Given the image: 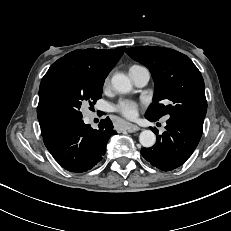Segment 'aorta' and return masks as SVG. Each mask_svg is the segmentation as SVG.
<instances>
[{
    "instance_id": "aorta-1",
    "label": "aorta",
    "mask_w": 231,
    "mask_h": 231,
    "mask_svg": "<svg viewBox=\"0 0 231 231\" xmlns=\"http://www.w3.org/2000/svg\"><path fill=\"white\" fill-rule=\"evenodd\" d=\"M113 88L120 93H129L132 90L130 79L123 73H116L111 79ZM139 142L143 147H152L156 142V136L151 130H144L139 135Z\"/></svg>"
}]
</instances>
